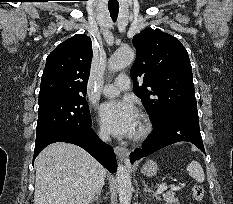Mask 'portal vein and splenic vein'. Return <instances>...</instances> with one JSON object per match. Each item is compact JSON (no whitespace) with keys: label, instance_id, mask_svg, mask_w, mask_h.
Segmentation results:
<instances>
[{"label":"portal vein and splenic vein","instance_id":"18ae733b","mask_svg":"<svg viewBox=\"0 0 233 204\" xmlns=\"http://www.w3.org/2000/svg\"><path fill=\"white\" fill-rule=\"evenodd\" d=\"M166 189H167V186H166L165 183H163V184H161V185L158 187L156 193H157V194H161V193H162L164 190H166Z\"/></svg>","mask_w":233,"mask_h":204}]
</instances>
